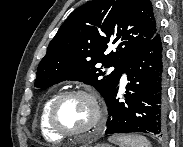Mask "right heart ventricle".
<instances>
[{
	"mask_svg": "<svg viewBox=\"0 0 183 147\" xmlns=\"http://www.w3.org/2000/svg\"><path fill=\"white\" fill-rule=\"evenodd\" d=\"M58 95H59L58 93H52L47 97V99L44 101L41 107L40 116H39V126H40L41 133L44 138L50 141H60L63 139V136L56 134L48 124V112H49L50 106Z\"/></svg>",
	"mask_w": 183,
	"mask_h": 147,
	"instance_id": "1",
	"label": "right heart ventricle"
}]
</instances>
